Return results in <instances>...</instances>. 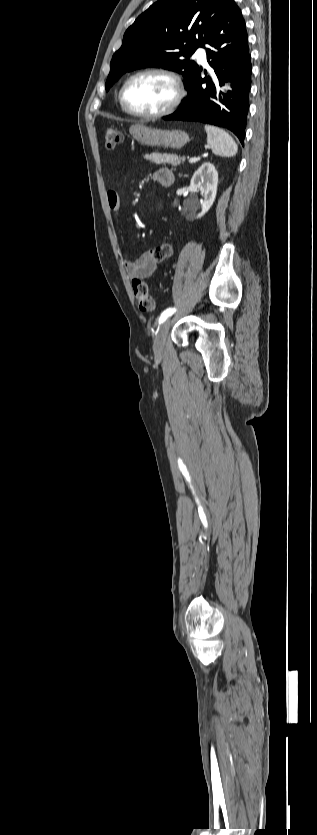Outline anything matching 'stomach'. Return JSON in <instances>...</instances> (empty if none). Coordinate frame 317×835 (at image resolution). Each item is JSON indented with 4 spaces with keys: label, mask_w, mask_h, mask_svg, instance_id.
Returning <instances> with one entry per match:
<instances>
[{
    "label": "stomach",
    "mask_w": 317,
    "mask_h": 835,
    "mask_svg": "<svg viewBox=\"0 0 317 835\" xmlns=\"http://www.w3.org/2000/svg\"><path fill=\"white\" fill-rule=\"evenodd\" d=\"M132 137L141 145L180 149L187 142L189 136L182 130H160L142 124L129 128Z\"/></svg>",
    "instance_id": "stomach-1"
}]
</instances>
